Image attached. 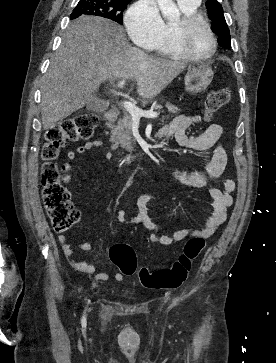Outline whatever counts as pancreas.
Segmentation results:
<instances>
[{"label": "pancreas", "mask_w": 276, "mask_h": 363, "mask_svg": "<svg viewBox=\"0 0 276 363\" xmlns=\"http://www.w3.org/2000/svg\"><path fill=\"white\" fill-rule=\"evenodd\" d=\"M166 107L169 113L177 114L180 112L176 106L171 103H166ZM132 126L133 119L128 113H125L123 118L117 120V123H108L107 127L111 129L110 142L112 148L116 149L119 147L130 151L132 149Z\"/></svg>", "instance_id": "1"}]
</instances>
